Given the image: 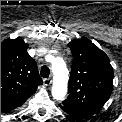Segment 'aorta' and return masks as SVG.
Returning <instances> with one entry per match:
<instances>
[{"label": "aorta", "instance_id": "aorta-1", "mask_svg": "<svg viewBox=\"0 0 122 122\" xmlns=\"http://www.w3.org/2000/svg\"><path fill=\"white\" fill-rule=\"evenodd\" d=\"M54 81L52 96L56 100H62L67 93L68 69L62 58H56L52 63Z\"/></svg>", "mask_w": 122, "mask_h": 122}]
</instances>
